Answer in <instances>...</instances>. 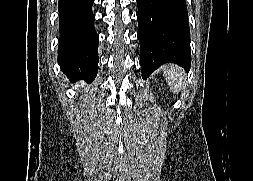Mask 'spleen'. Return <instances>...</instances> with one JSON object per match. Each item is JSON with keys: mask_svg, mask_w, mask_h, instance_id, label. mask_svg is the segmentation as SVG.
Here are the masks:
<instances>
[{"mask_svg": "<svg viewBox=\"0 0 253 181\" xmlns=\"http://www.w3.org/2000/svg\"><path fill=\"white\" fill-rule=\"evenodd\" d=\"M163 75L173 93L178 94L185 90V76L181 68L168 64L163 67Z\"/></svg>", "mask_w": 253, "mask_h": 181, "instance_id": "spleen-1", "label": "spleen"}]
</instances>
